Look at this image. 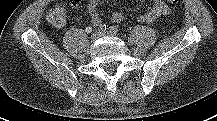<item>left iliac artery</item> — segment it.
Instances as JSON below:
<instances>
[{"mask_svg":"<svg viewBox=\"0 0 217 121\" xmlns=\"http://www.w3.org/2000/svg\"><path fill=\"white\" fill-rule=\"evenodd\" d=\"M109 30H110V32H112V33L115 34V35L119 32V29H118V27H116V26H111V27L109 28Z\"/></svg>","mask_w":217,"mask_h":121,"instance_id":"1","label":"left iliac artery"}]
</instances>
